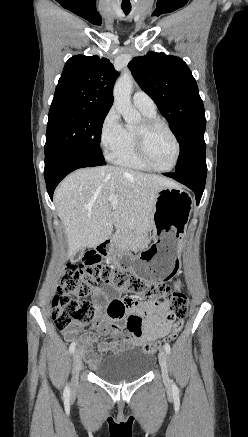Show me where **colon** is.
<instances>
[{
    "label": "colon",
    "instance_id": "obj_1",
    "mask_svg": "<svg viewBox=\"0 0 248 437\" xmlns=\"http://www.w3.org/2000/svg\"><path fill=\"white\" fill-rule=\"evenodd\" d=\"M102 258L86 255L79 263L67 266L53 300L52 317L56 327L64 330L74 325L80 327L94 323L99 307L91 295L95 287L107 284L135 298L165 300L169 307L168 318L173 321L165 340H175L188 311L186 295L169 286H144V279H136L135 275L127 272H116L112 266L103 264ZM161 346V340L151 341L143 343L141 349L146 353H155Z\"/></svg>",
    "mask_w": 248,
    "mask_h": 437
}]
</instances>
